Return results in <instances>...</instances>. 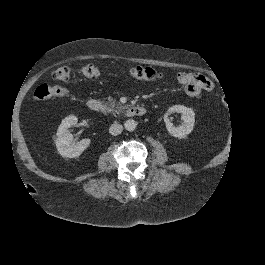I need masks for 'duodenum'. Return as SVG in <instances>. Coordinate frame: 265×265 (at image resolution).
Returning <instances> with one entry per match:
<instances>
[{
  "label": "duodenum",
  "mask_w": 265,
  "mask_h": 265,
  "mask_svg": "<svg viewBox=\"0 0 265 265\" xmlns=\"http://www.w3.org/2000/svg\"><path fill=\"white\" fill-rule=\"evenodd\" d=\"M87 107L93 112L103 111V104L96 98H89L87 100ZM146 113V109L143 106H133L127 111L129 117H139Z\"/></svg>",
  "instance_id": "1"
}]
</instances>
